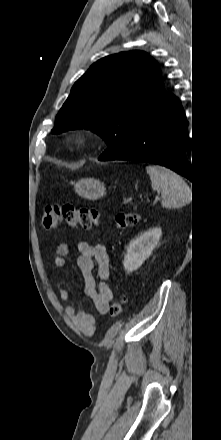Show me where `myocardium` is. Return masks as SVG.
I'll return each mask as SVG.
<instances>
[{"mask_svg": "<svg viewBox=\"0 0 221 440\" xmlns=\"http://www.w3.org/2000/svg\"><path fill=\"white\" fill-rule=\"evenodd\" d=\"M91 143V136L83 129H75L66 137V144L70 149L83 150Z\"/></svg>", "mask_w": 221, "mask_h": 440, "instance_id": "obj_1", "label": "myocardium"}]
</instances>
